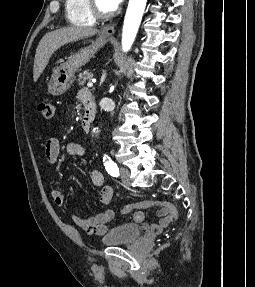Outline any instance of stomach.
<instances>
[{"mask_svg": "<svg viewBox=\"0 0 255 287\" xmlns=\"http://www.w3.org/2000/svg\"><path fill=\"white\" fill-rule=\"evenodd\" d=\"M109 40H111V38L98 36L93 44H90L87 48H81L79 52H76V54H73V56L69 58V62H67L63 74L55 70L54 76L51 78L48 86L49 94H52V96H61V94H64V92L70 88L71 84H73L75 72H77L78 68L87 64L91 58H94L96 52H98L100 48H103Z\"/></svg>", "mask_w": 255, "mask_h": 287, "instance_id": "1", "label": "stomach"}]
</instances>
